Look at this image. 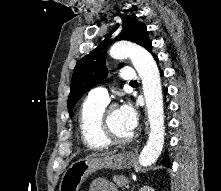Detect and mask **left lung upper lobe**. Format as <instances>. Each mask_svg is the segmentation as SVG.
Here are the masks:
<instances>
[{
    "label": "left lung upper lobe",
    "mask_w": 221,
    "mask_h": 191,
    "mask_svg": "<svg viewBox=\"0 0 221 191\" xmlns=\"http://www.w3.org/2000/svg\"><path fill=\"white\" fill-rule=\"evenodd\" d=\"M121 18L123 22L121 33L113 40H110L111 34L119 25L114 27L106 39L96 49L84 56L75 66L71 81V92L68 97V111L70 116L72 115L75 104L84 93L107 76L106 49L108 43L127 40L137 43L146 49L151 44L144 23L127 16H121ZM122 66L123 64H120L119 68Z\"/></svg>",
    "instance_id": "left-lung-upper-lobe-1"
}]
</instances>
